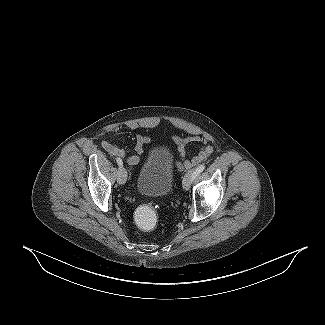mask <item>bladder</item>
<instances>
[{
  "label": "bladder",
  "mask_w": 325,
  "mask_h": 325,
  "mask_svg": "<svg viewBox=\"0 0 325 325\" xmlns=\"http://www.w3.org/2000/svg\"><path fill=\"white\" fill-rule=\"evenodd\" d=\"M173 164L174 156L167 146L153 147L137 173L138 191L156 197L170 194L175 182Z\"/></svg>",
  "instance_id": "bladder-1"
}]
</instances>
